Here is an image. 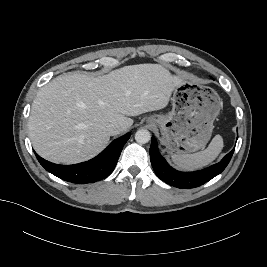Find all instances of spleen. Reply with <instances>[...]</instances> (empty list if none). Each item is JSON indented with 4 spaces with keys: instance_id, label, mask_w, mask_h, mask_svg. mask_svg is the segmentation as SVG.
Wrapping results in <instances>:
<instances>
[{
    "instance_id": "obj_1",
    "label": "spleen",
    "mask_w": 267,
    "mask_h": 267,
    "mask_svg": "<svg viewBox=\"0 0 267 267\" xmlns=\"http://www.w3.org/2000/svg\"><path fill=\"white\" fill-rule=\"evenodd\" d=\"M224 146L223 138L216 135L209 146L204 150L194 154H173L172 161L181 169L194 170L210 164L217 158Z\"/></svg>"
}]
</instances>
